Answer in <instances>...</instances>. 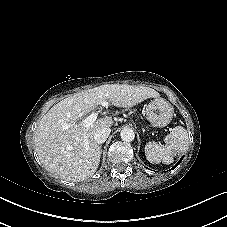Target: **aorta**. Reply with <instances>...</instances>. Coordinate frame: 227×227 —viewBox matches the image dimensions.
I'll list each match as a JSON object with an SVG mask.
<instances>
[{"mask_svg": "<svg viewBox=\"0 0 227 227\" xmlns=\"http://www.w3.org/2000/svg\"><path fill=\"white\" fill-rule=\"evenodd\" d=\"M121 139L126 142H131L135 138L134 131L131 128H124L120 132Z\"/></svg>", "mask_w": 227, "mask_h": 227, "instance_id": "762f6f07", "label": "aorta"}]
</instances>
